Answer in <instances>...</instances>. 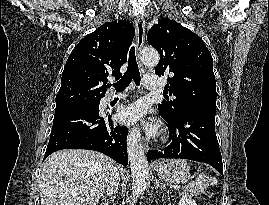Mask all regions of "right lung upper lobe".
Returning <instances> with one entry per match:
<instances>
[{"label": "right lung upper lobe", "mask_w": 269, "mask_h": 205, "mask_svg": "<svg viewBox=\"0 0 269 205\" xmlns=\"http://www.w3.org/2000/svg\"><path fill=\"white\" fill-rule=\"evenodd\" d=\"M135 30L128 21L107 22L84 37L70 54L56 96V108L100 102L106 92L107 78L121 77L120 67Z\"/></svg>", "instance_id": "obj_1"}]
</instances>
